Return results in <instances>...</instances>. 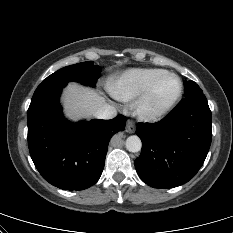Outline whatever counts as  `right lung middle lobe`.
<instances>
[{
  "mask_svg": "<svg viewBox=\"0 0 233 233\" xmlns=\"http://www.w3.org/2000/svg\"><path fill=\"white\" fill-rule=\"evenodd\" d=\"M100 71V67L93 65V61L64 67L43 80L34 92L32 99L55 90H60L70 81L95 86V83L100 76Z\"/></svg>",
  "mask_w": 233,
  "mask_h": 233,
  "instance_id": "dd1d6c3e",
  "label": "right lung middle lobe"
}]
</instances>
